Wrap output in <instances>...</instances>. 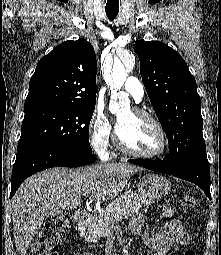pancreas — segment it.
Segmentation results:
<instances>
[{
  "label": "pancreas",
  "mask_w": 221,
  "mask_h": 255,
  "mask_svg": "<svg viewBox=\"0 0 221 255\" xmlns=\"http://www.w3.org/2000/svg\"><path fill=\"white\" fill-rule=\"evenodd\" d=\"M150 204L151 202L144 200L139 194L126 191L86 222L87 240L94 242L106 236L113 231L119 220L133 216L142 206Z\"/></svg>",
  "instance_id": "cf45deb5"
}]
</instances>
